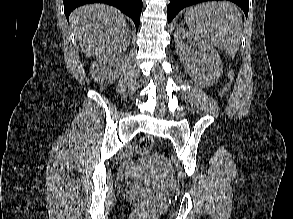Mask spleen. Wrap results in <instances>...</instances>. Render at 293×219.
<instances>
[{"label": "spleen", "instance_id": "1", "mask_svg": "<svg viewBox=\"0 0 293 219\" xmlns=\"http://www.w3.org/2000/svg\"><path fill=\"white\" fill-rule=\"evenodd\" d=\"M190 32L224 50L229 55L238 51L243 21L238 8L230 2H206L189 8L185 15Z\"/></svg>", "mask_w": 293, "mask_h": 219}]
</instances>
